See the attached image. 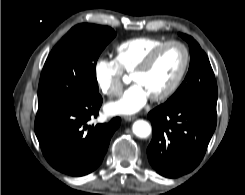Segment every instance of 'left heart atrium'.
I'll use <instances>...</instances> for the list:
<instances>
[{
  "label": "left heart atrium",
  "mask_w": 245,
  "mask_h": 195,
  "mask_svg": "<svg viewBox=\"0 0 245 195\" xmlns=\"http://www.w3.org/2000/svg\"><path fill=\"white\" fill-rule=\"evenodd\" d=\"M147 91L135 83L115 102L107 104L106 111L112 115H128L139 111L149 98Z\"/></svg>",
  "instance_id": "obj_1"
}]
</instances>
